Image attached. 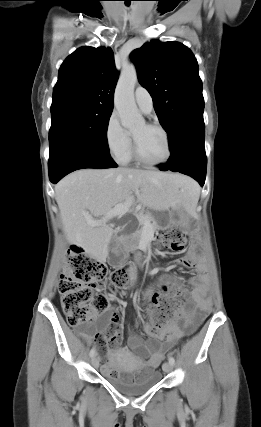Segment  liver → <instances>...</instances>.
I'll return each mask as SVG.
<instances>
[{
	"instance_id": "1",
	"label": "liver",
	"mask_w": 261,
	"mask_h": 427,
	"mask_svg": "<svg viewBox=\"0 0 261 427\" xmlns=\"http://www.w3.org/2000/svg\"><path fill=\"white\" fill-rule=\"evenodd\" d=\"M196 183L180 174L128 168L82 169L63 178L55 186L56 202L66 238L104 262L113 236L109 225L93 227V217L105 216L118 204L137 203L152 210L191 208L188 189Z\"/></svg>"
}]
</instances>
